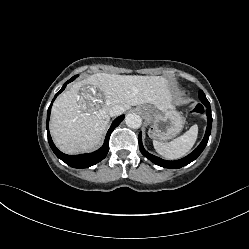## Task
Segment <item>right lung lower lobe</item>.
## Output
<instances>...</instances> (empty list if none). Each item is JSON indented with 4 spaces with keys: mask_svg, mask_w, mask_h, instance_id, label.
Segmentation results:
<instances>
[{
    "mask_svg": "<svg viewBox=\"0 0 249 249\" xmlns=\"http://www.w3.org/2000/svg\"><path fill=\"white\" fill-rule=\"evenodd\" d=\"M76 77L77 76L72 77L70 80H68L63 85L61 90L55 95L53 101L58 96V94H60L65 89L66 85L69 82L73 81ZM53 101H52V103H53ZM52 103H51V105H50V107L48 109V112H47V125H46V128H47V135H48V141H49L50 147L53 150V152L56 154V156L58 158H60L62 161H64L66 164H68L69 166L74 167V168H87V167H90L92 165H95L96 163H98L102 159H104L106 157L107 153H108V150H109V138H110V135H111L112 131L122 122V120L124 119L125 116L124 115L119 116L118 118H116L113 121L110 129L107 132V135H106L103 146L100 149H98L97 151L92 152V153H88V154H81V155H66V154L60 152L56 148V146L54 145V143H53V141L51 139L50 133H49L48 122H49Z\"/></svg>",
    "mask_w": 249,
    "mask_h": 249,
    "instance_id": "right-lung-lower-lobe-1",
    "label": "right lung lower lobe"
}]
</instances>
